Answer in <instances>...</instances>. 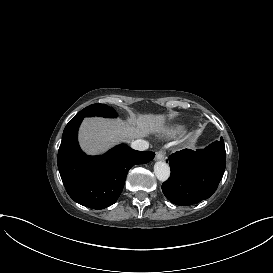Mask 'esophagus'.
Wrapping results in <instances>:
<instances>
[{
  "instance_id": "obj_1",
  "label": "esophagus",
  "mask_w": 273,
  "mask_h": 273,
  "mask_svg": "<svg viewBox=\"0 0 273 273\" xmlns=\"http://www.w3.org/2000/svg\"><path fill=\"white\" fill-rule=\"evenodd\" d=\"M165 158V151L161 150L156 153L155 159L156 160H164Z\"/></svg>"
}]
</instances>
